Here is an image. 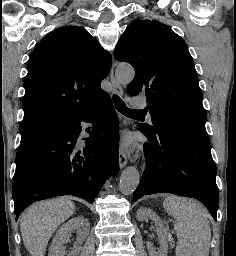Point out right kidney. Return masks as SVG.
<instances>
[{
    "instance_id": "obj_1",
    "label": "right kidney",
    "mask_w": 236,
    "mask_h": 256,
    "mask_svg": "<svg viewBox=\"0 0 236 256\" xmlns=\"http://www.w3.org/2000/svg\"><path fill=\"white\" fill-rule=\"evenodd\" d=\"M77 230V242L68 256H79L81 244L86 240L90 230V224L83 216L68 220L67 224H63L54 236V240L49 248V256H66V248L64 244L69 242L70 232Z\"/></svg>"
}]
</instances>
